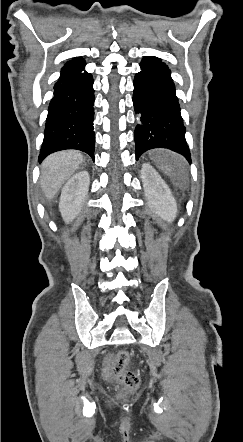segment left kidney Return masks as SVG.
Segmentation results:
<instances>
[{
  "mask_svg": "<svg viewBox=\"0 0 243 442\" xmlns=\"http://www.w3.org/2000/svg\"><path fill=\"white\" fill-rule=\"evenodd\" d=\"M141 174L148 205L160 218L171 223L177 215V204L169 187L149 163L142 165Z\"/></svg>",
  "mask_w": 243,
  "mask_h": 442,
  "instance_id": "obj_1",
  "label": "left kidney"
}]
</instances>
